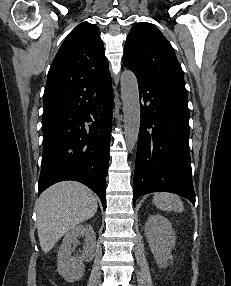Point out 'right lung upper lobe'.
<instances>
[{
  "label": "right lung upper lobe",
  "instance_id": "cb5924a9",
  "mask_svg": "<svg viewBox=\"0 0 231 286\" xmlns=\"http://www.w3.org/2000/svg\"><path fill=\"white\" fill-rule=\"evenodd\" d=\"M108 75L99 27L82 22L67 36L52 62L44 92V111L66 100L81 84Z\"/></svg>",
  "mask_w": 231,
  "mask_h": 286
}]
</instances>
